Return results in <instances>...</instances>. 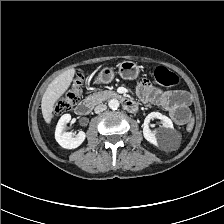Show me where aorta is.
<instances>
[{
    "label": "aorta",
    "mask_w": 224,
    "mask_h": 224,
    "mask_svg": "<svg viewBox=\"0 0 224 224\" xmlns=\"http://www.w3.org/2000/svg\"><path fill=\"white\" fill-rule=\"evenodd\" d=\"M119 101L117 100V99H111V100H109V102H108V106H109V108L110 109H112V110H117L118 109V107H119Z\"/></svg>",
    "instance_id": "aorta-1"
}]
</instances>
